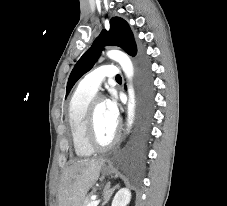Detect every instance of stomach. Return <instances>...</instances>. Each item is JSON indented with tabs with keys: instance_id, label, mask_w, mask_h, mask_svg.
Masks as SVG:
<instances>
[{
	"instance_id": "stomach-1",
	"label": "stomach",
	"mask_w": 227,
	"mask_h": 206,
	"mask_svg": "<svg viewBox=\"0 0 227 206\" xmlns=\"http://www.w3.org/2000/svg\"><path fill=\"white\" fill-rule=\"evenodd\" d=\"M102 173H103L104 175H110V174L112 173V170H111L110 166H107V165L105 164V161H104V163L102 164Z\"/></svg>"
}]
</instances>
